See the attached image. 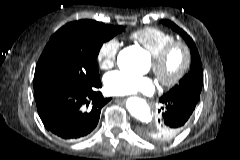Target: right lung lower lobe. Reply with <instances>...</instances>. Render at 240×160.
Listing matches in <instances>:
<instances>
[{"label":"right lung lower lobe","instance_id":"1","mask_svg":"<svg viewBox=\"0 0 240 160\" xmlns=\"http://www.w3.org/2000/svg\"><path fill=\"white\" fill-rule=\"evenodd\" d=\"M94 86L73 89L53 83L35 91L37 110L47 130L66 140L82 139L98 124L101 108L111 98H104Z\"/></svg>","mask_w":240,"mask_h":160}]
</instances>
